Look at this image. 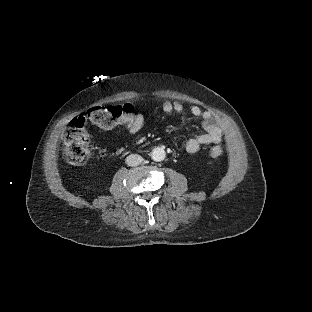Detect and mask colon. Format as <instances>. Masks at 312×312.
Returning a JSON list of instances; mask_svg holds the SVG:
<instances>
[{
    "mask_svg": "<svg viewBox=\"0 0 312 312\" xmlns=\"http://www.w3.org/2000/svg\"><path fill=\"white\" fill-rule=\"evenodd\" d=\"M130 105H99L88 111V120L83 119L77 126H70L63 136L64 155L71 165L83 164L91 153V142L87 133V126L106 130L124 122L132 112ZM224 152L221 144H215L210 149L212 156H220Z\"/></svg>",
    "mask_w": 312,
    "mask_h": 312,
    "instance_id": "colon-1",
    "label": "colon"
}]
</instances>
